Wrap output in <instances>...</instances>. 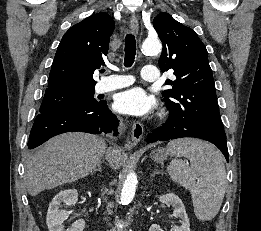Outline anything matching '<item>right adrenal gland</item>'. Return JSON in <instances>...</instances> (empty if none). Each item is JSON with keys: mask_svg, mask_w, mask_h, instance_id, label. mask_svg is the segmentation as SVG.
I'll list each match as a JSON object with an SVG mask.
<instances>
[{"mask_svg": "<svg viewBox=\"0 0 261 231\" xmlns=\"http://www.w3.org/2000/svg\"><path fill=\"white\" fill-rule=\"evenodd\" d=\"M101 165H102V162H100V163L98 164L97 168H96L95 170H93V172H92L91 174H93V173H95V172H97V171L102 172Z\"/></svg>", "mask_w": 261, "mask_h": 231, "instance_id": "right-adrenal-gland-1", "label": "right adrenal gland"}]
</instances>
